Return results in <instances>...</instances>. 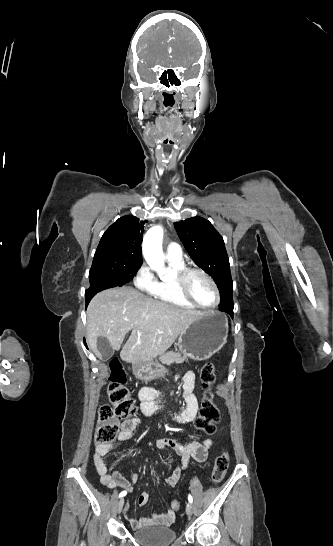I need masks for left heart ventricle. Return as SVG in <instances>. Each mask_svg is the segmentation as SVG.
<instances>
[{
    "instance_id": "b2bd125f",
    "label": "left heart ventricle",
    "mask_w": 333,
    "mask_h": 546,
    "mask_svg": "<svg viewBox=\"0 0 333 546\" xmlns=\"http://www.w3.org/2000/svg\"><path fill=\"white\" fill-rule=\"evenodd\" d=\"M188 288L192 297L202 305H213L216 293L213 286L200 274H192L188 280Z\"/></svg>"
}]
</instances>
